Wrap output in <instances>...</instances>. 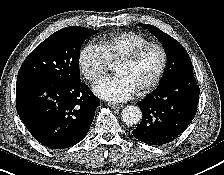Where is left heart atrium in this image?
<instances>
[{
  "instance_id": "left-heart-atrium-1",
  "label": "left heart atrium",
  "mask_w": 224,
  "mask_h": 175,
  "mask_svg": "<svg viewBox=\"0 0 224 175\" xmlns=\"http://www.w3.org/2000/svg\"><path fill=\"white\" fill-rule=\"evenodd\" d=\"M94 92L107 101L121 102L130 99L135 94L136 88L126 77L115 75L99 81L94 86Z\"/></svg>"
}]
</instances>
